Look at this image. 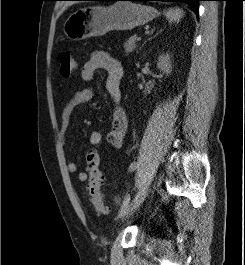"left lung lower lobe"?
I'll use <instances>...</instances> for the list:
<instances>
[{
    "mask_svg": "<svg viewBox=\"0 0 245 265\" xmlns=\"http://www.w3.org/2000/svg\"><path fill=\"white\" fill-rule=\"evenodd\" d=\"M92 1H119V0H92ZM123 1H166V2H184L188 4L198 16V2L202 0H123Z\"/></svg>",
    "mask_w": 245,
    "mask_h": 265,
    "instance_id": "1",
    "label": "left lung lower lobe"
}]
</instances>
